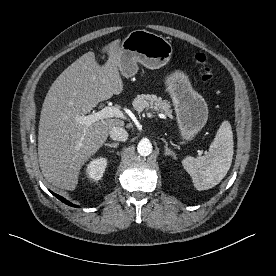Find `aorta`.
Here are the masks:
<instances>
[{"label":"aorta","mask_w":276,"mask_h":276,"mask_svg":"<svg viewBox=\"0 0 276 276\" xmlns=\"http://www.w3.org/2000/svg\"><path fill=\"white\" fill-rule=\"evenodd\" d=\"M137 151L141 156H149L152 153V144L149 140H141L137 145Z\"/></svg>","instance_id":"1"}]
</instances>
